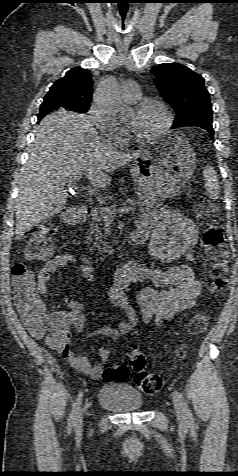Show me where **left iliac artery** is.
<instances>
[{"label":"left iliac artery","mask_w":238,"mask_h":476,"mask_svg":"<svg viewBox=\"0 0 238 476\" xmlns=\"http://www.w3.org/2000/svg\"><path fill=\"white\" fill-rule=\"evenodd\" d=\"M173 396L177 399V401L179 402L180 406L182 407L184 413H185V416H186V420H187V423L188 425L194 429L195 428V424H194V419H193V416H192V413L186 403V401L184 400L182 394L178 391H174L173 392Z\"/></svg>","instance_id":"left-iliac-artery-1"}]
</instances>
